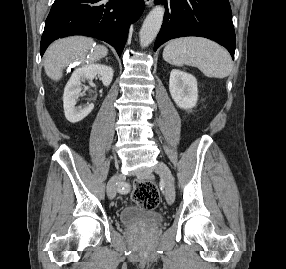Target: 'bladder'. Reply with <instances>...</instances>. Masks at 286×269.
<instances>
[{"label":"bladder","mask_w":286,"mask_h":269,"mask_svg":"<svg viewBox=\"0 0 286 269\" xmlns=\"http://www.w3.org/2000/svg\"><path fill=\"white\" fill-rule=\"evenodd\" d=\"M119 221L125 225H159L163 221L161 213L137 206L123 207L119 212Z\"/></svg>","instance_id":"bladder-1"}]
</instances>
